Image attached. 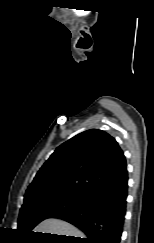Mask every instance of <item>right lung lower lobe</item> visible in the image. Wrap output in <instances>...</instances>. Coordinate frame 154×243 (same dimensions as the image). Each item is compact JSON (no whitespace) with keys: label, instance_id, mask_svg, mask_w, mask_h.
<instances>
[{"label":"right lung lower lobe","instance_id":"right-lung-lower-lobe-1","mask_svg":"<svg viewBox=\"0 0 154 243\" xmlns=\"http://www.w3.org/2000/svg\"><path fill=\"white\" fill-rule=\"evenodd\" d=\"M128 188L127 170L98 188L85 204L59 213L53 218L65 220L86 234L77 243H120Z\"/></svg>","mask_w":154,"mask_h":243}]
</instances>
